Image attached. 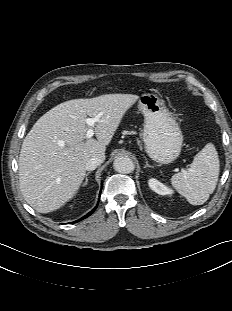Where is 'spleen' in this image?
Returning <instances> with one entry per match:
<instances>
[{
	"mask_svg": "<svg viewBox=\"0 0 232 311\" xmlns=\"http://www.w3.org/2000/svg\"><path fill=\"white\" fill-rule=\"evenodd\" d=\"M219 158L215 146L208 143L198 152L187 170L174 174L172 186L190 204L202 205L216 188L219 176Z\"/></svg>",
	"mask_w": 232,
	"mask_h": 311,
	"instance_id": "1",
	"label": "spleen"
}]
</instances>
